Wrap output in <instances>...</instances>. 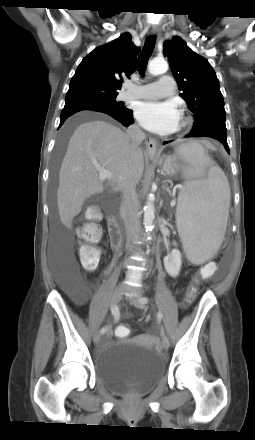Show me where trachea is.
Returning <instances> with one entry per match:
<instances>
[{
  "mask_svg": "<svg viewBox=\"0 0 255 440\" xmlns=\"http://www.w3.org/2000/svg\"><path fill=\"white\" fill-rule=\"evenodd\" d=\"M154 46H155V36L148 37L138 57V69L141 75H144L148 60L154 50Z\"/></svg>",
  "mask_w": 255,
  "mask_h": 440,
  "instance_id": "trachea-1",
  "label": "trachea"
}]
</instances>
